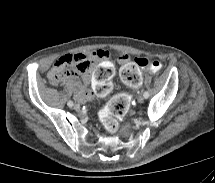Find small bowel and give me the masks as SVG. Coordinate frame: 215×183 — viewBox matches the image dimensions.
I'll return each instance as SVG.
<instances>
[{"instance_id": "small-bowel-1", "label": "small bowel", "mask_w": 215, "mask_h": 183, "mask_svg": "<svg viewBox=\"0 0 215 183\" xmlns=\"http://www.w3.org/2000/svg\"><path fill=\"white\" fill-rule=\"evenodd\" d=\"M109 60V53L103 49H94L88 53L67 54L59 58L57 62L69 64L72 67L71 73L59 80H54L51 71L48 77L53 85H57L60 81L73 83L76 87L75 98L79 102H84L92 97L104 100L112 94L114 89L113 76L116 73V66ZM97 61L103 62L93 71ZM128 61L127 54L119 55L118 62L120 64H125ZM89 82L90 91L87 89Z\"/></svg>"}]
</instances>
